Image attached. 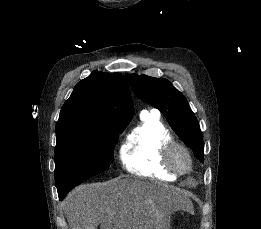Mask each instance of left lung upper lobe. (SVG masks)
I'll use <instances>...</instances> for the list:
<instances>
[{
	"mask_svg": "<svg viewBox=\"0 0 261 229\" xmlns=\"http://www.w3.org/2000/svg\"><path fill=\"white\" fill-rule=\"evenodd\" d=\"M129 81L134 94L142 101L158 108L174 132L203 162V136L184 95L164 78L131 74Z\"/></svg>",
	"mask_w": 261,
	"mask_h": 229,
	"instance_id": "left-lung-upper-lobe-1",
	"label": "left lung upper lobe"
}]
</instances>
